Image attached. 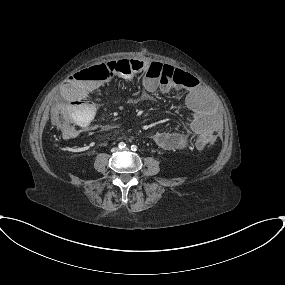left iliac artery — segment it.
Returning a JSON list of instances; mask_svg holds the SVG:
<instances>
[{
    "label": "left iliac artery",
    "instance_id": "left-iliac-artery-1",
    "mask_svg": "<svg viewBox=\"0 0 285 285\" xmlns=\"http://www.w3.org/2000/svg\"><path fill=\"white\" fill-rule=\"evenodd\" d=\"M131 150L132 151H137V146L136 145H131Z\"/></svg>",
    "mask_w": 285,
    "mask_h": 285
}]
</instances>
